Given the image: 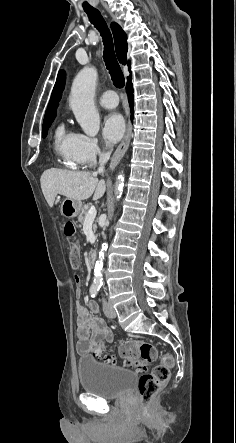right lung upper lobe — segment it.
Here are the masks:
<instances>
[{"label": "right lung upper lobe", "mask_w": 236, "mask_h": 443, "mask_svg": "<svg viewBox=\"0 0 236 443\" xmlns=\"http://www.w3.org/2000/svg\"><path fill=\"white\" fill-rule=\"evenodd\" d=\"M111 29L114 37L117 58L120 63L125 65L127 61L126 57L128 51V45L126 41L127 36L125 32L122 30V28L115 22L111 23ZM128 69L130 71L129 61H128ZM64 84H65V73L64 71L61 70L58 73V77L51 94L48 108L45 112L44 122L55 118L56 108L58 106V102L61 99L62 91L64 89Z\"/></svg>", "instance_id": "right-lung-upper-lobe-1"}]
</instances>
